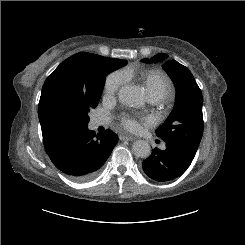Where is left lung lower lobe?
I'll return each mask as SVG.
<instances>
[{
	"instance_id": "0a47b994",
	"label": "left lung lower lobe",
	"mask_w": 245,
	"mask_h": 245,
	"mask_svg": "<svg viewBox=\"0 0 245 245\" xmlns=\"http://www.w3.org/2000/svg\"><path fill=\"white\" fill-rule=\"evenodd\" d=\"M166 142L164 151L155 148L143 161L144 172L153 180L165 182L180 177L189 167L196 150L181 142Z\"/></svg>"
}]
</instances>
